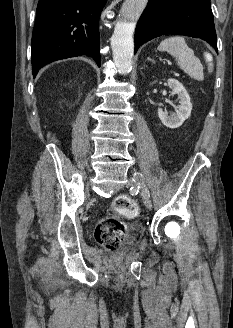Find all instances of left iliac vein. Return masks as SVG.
<instances>
[{
	"instance_id": "1",
	"label": "left iliac vein",
	"mask_w": 233,
	"mask_h": 328,
	"mask_svg": "<svg viewBox=\"0 0 233 328\" xmlns=\"http://www.w3.org/2000/svg\"><path fill=\"white\" fill-rule=\"evenodd\" d=\"M142 175L138 172L134 173L133 177L131 179H129L128 181V185L132 186L134 188H141V183H142ZM141 197L143 199L144 205L148 208L151 209L152 208V203L151 200L149 198V196L144 192V191H140Z\"/></svg>"
}]
</instances>
